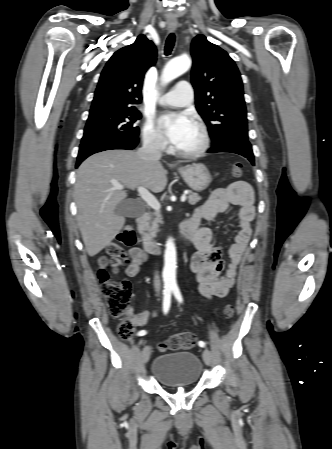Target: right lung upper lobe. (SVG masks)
<instances>
[{
    "label": "right lung upper lobe",
    "mask_w": 332,
    "mask_h": 449,
    "mask_svg": "<svg viewBox=\"0 0 332 449\" xmlns=\"http://www.w3.org/2000/svg\"><path fill=\"white\" fill-rule=\"evenodd\" d=\"M156 47L144 35L113 54L105 65L90 113L135 108L142 100L146 71L156 62Z\"/></svg>",
    "instance_id": "obj_1"
}]
</instances>
